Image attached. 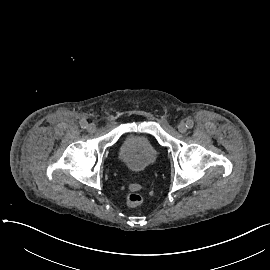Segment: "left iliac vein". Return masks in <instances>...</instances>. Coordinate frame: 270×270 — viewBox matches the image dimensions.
<instances>
[{
    "mask_svg": "<svg viewBox=\"0 0 270 270\" xmlns=\"http://www.w3.org/2000/svg\"><path fill=\"white\" fill-rule=\"evenodd\" d=\"M178 130L180 133H185L187 131V126L184 122L178 124Z\"/></svg>",
    "mask_w": 270,
    "mask_h": 270,
    "instance_id": "1",
    "label": "left iliac vein"
}]
</instances>
